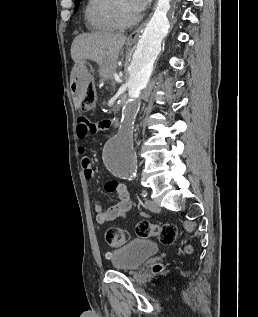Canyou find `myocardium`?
Wrapping results in <instances>:
<instances>
[{
  "label": "myocardium",
  "mask_w": 258,
  "mask_h": 317,
  "mask_svg": "<svg viewBox=\"0 0 258 317\" xmlns=\"http://www.w3.org/2000/svg\"><path fill=\"white\" fill-rule=\"evenodd\" d=\"M130 7L135 10V14L132 18V20L128 23H125L121 18V11L124 7ZM110 19L114 25V27L118 30H122L127 27H133L138 24L140 21V13L136 9L135 5L132 3V1L129 0H117L114 5L111 7L110 10Z\"/></svg>",
  "instance_id": "myocardium-1"
}]
</instances>
